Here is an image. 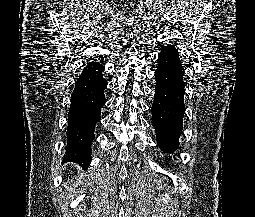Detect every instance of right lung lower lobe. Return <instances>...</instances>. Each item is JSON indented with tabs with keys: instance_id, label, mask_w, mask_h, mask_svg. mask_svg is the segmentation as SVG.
<instances>
[{
	"instance_id": "1",
	"label": "right lung lower lobe",
	"mask_w": 255,
	"mask_h": 217,
	"mask_svg": "<svg viewBox=\"0 0 255 217\" xmlns=\"http://www.w3.org/2000/svg\"><path fill=\"white\" fill-rule=\"evenodd\" d=\"M104 66L92 61L84 66L79 75L68 112L66 161L79 163L87 168L91 161V144L94 127L100 121V112L105 104L103 78Z\"/></svg>"
}]
</instances>
